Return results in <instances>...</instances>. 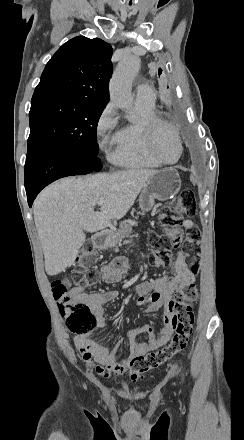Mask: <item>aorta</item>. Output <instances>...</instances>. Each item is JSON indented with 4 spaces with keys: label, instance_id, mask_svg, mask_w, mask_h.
I'll use <instances>...</instances> for the list:
<instances>
[{
    "label": "aorta",
    "instance_id": "1",
    "mask_svg": "<svg viewBox=\"0 0 244 440\" xmlns=\"http://www.w3.org/2000/svg\"><path fill=\"white\" fill-rule=\"evenodd\" d=\"M139 69V58L127 56L119 62L112 75L109 85L110 98L122 110L130 111L132 108L131 86Z\"/></svg>",
    "mask_w": 244,
    "mask_h": 440
}]
</instances>
